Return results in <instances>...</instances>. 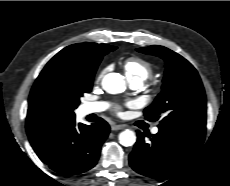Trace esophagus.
Instances as JSON below:
<instances>
[{"instance_id":"1","label":"esophagus","mask_w":230,"mask_h":186,"mask_svg":"<svg viewBox=\"0 0 230 186\" xmlns=\"http://www.w3.org/2000/svg\"><path fill=\"white\" fill-rule=\"evenodd\" d=\"M124 128H125L124 125H112V126H111V129H112L113 131L122 130V129H124Z\"/></svg>"}]
</instances>
